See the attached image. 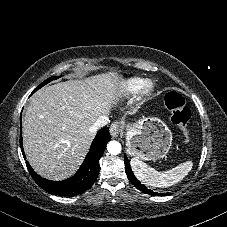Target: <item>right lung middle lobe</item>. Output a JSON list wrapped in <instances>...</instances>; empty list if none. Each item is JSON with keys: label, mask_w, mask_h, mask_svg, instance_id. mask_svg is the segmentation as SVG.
<instances>
[{"label": "right lung middle lobe", "mask_w": 227, "mask_h": 227, "mask_svg": "<svg viewBox=\"0 0 227 227\" xmlns=\"http://www.w3.org/2000/svg\"><path fill=\"white\" fill-rule=\"evenodd\" d=\"M59 77H60V76H55V77L48 78V79L45 80L43 83H41V84L34 90V92H35L36 90H38L39 88H41L42 86H44V85H46L47 83H49L50 81L55 80V79H57V78H59Z\"/></svg>", "instance_id": "obj_1"}]
</instances>
